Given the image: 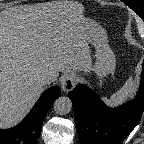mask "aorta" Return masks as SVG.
I'll list each match as a JSON object with an SVG mask.
<instances>
[{
    "label": "aorta",
    "instance_id": "aorta-1",
    "mask_svg": "<svg viewBox=\"0 0 144 144\" xmlns=\"http://www.w3.org/2000/svg\"><path fill=\"white\" fill-rule=\"evenodd\" d=\"M54 110L59 115H66L72 110V102L68 97H59L54 102Z\"/></svg>",
    "mask_w": 144,
    "mask_h": 144
}]
</instances>
